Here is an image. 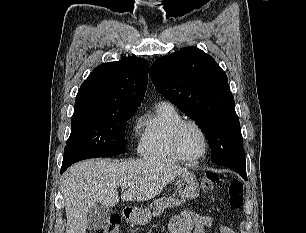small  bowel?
<instances>
[{
	"instance_id": "c3829d8e",
	"label": "small bowel",
	"mask_w": 306,
	"mask_h": 233,
	"mask_svg": "<svg viewBox=\"0 0 306 233\" xmlns=\"http://www.w3.org/2000/svg\"><path fill=\"white\" fill-rule=\"evenodd\" d=\"M215 225V220L209 215L184 210L179 215L174 216L169 223L170 233H205L206 227ZM220 233H235L228 226H220Z\"/></svg>"
}]
</instances>
